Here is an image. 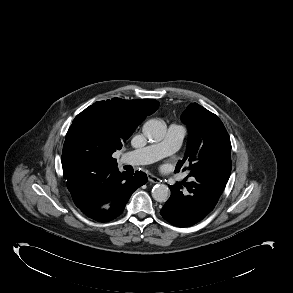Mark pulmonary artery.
Listing matches in <instances>:
<instances>
[{"label": "pulmonary artery", "mask_w": 293, "mask_h": 293, "mask_svg": "<svg viewBox=\"0 0 293 293\" xmlns=\"http://www.w3.org/2000/svg\"><path fill=\"white\" fill-rule=\"evenodd\" d=\"M185 134L183 126L171 124L163 141L128 152L123 156V161L130 165H144L170 156L180 148Z\"/></svg>", "instance_id": "obj_1"}]
</instances>
